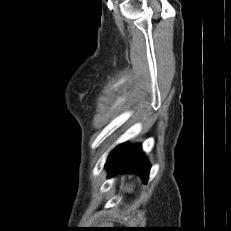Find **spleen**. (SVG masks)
I'll list each match as a JSON object with an SVG mask.
<instances>
[{
	"mask_svg": "<svg viewBox=\"0 0 231 231\" xmlns=\"http://www.w3.org/2000/svg\"><path fill=\"white\" fill-rule=\"evenodd\" d=\"M133 190V187L131 186V188H127V191H132Z\"/></svg>",
	"mask_w": 231,
	"mask_h": 231,
	"instance_id": "3e777b00",
	"label": "spleen"
}]
</instances>
